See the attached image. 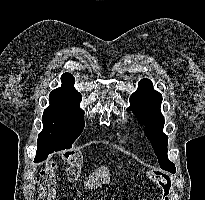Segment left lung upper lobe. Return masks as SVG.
<instances>
[{
  "mask_svg": "<svg viewBox=\"0 0 205 200\" xmlns=\"http://www.w3.org/2000/svg\"><path fill=\"white\" fill-rule=\"evenodd\" d=\"M162 94L153 89L152 82L142 79L138 89L130 96L128 110L139 118V123L145 126V134L153 145L159 165L162 169L170 171L175 169L167 157L168 137L162 132L164 117L160 112Z\"/></svg>",
  "mask_w": 205,
  "mask_h": 200,
  "instance_id": "5c2ea615",
  "label": "left lung upper lobe"
}]
</instances>
